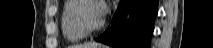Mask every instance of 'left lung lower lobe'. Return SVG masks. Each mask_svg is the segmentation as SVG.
<instances>
[{"label":"left lung lower lobe","mask_w":213,"mask_h":48,"mask_svg":"<svg viewBox=\"0 0 213 48\" xmlns=\"http://www.w3.org/2000/svg\"><path fill=\"white\" fill-rule=\"evenodd\" d=\"M158 0H122L111 26L96 41L113 48H150Z\"/></svg>","instance_id":"0a47b994"}]
</instances>
